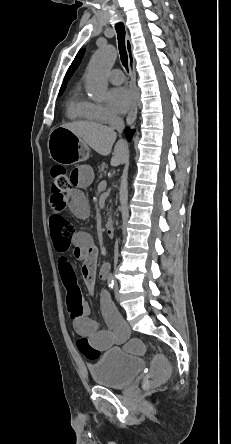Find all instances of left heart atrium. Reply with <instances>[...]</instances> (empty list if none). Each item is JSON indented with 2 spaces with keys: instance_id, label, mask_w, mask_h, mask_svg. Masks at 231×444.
Here are the masks:
<instances>
[{
  "instance_id": "39dd6f15",
  "label": "left heart atrium",
  "mask_w": 231,
  "mask_h": 444,
  "mask_svg": "<svg viewBox=\"0 0 231 444\" xmlns=\"http://www.w3.org/2000/svg\"><path fill=\"white\" fill-rule=\"evenodd\" d=\"M108 103L117 113L126 112L132 104V94L124 87H116L108 92Z\"/></svg>"
}]
</instances>
